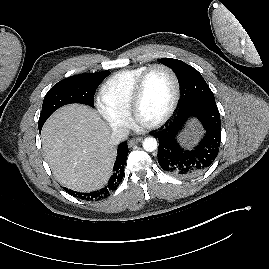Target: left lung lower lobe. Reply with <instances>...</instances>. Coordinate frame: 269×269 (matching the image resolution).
Returning a JSON list of instances; mask_svg holds the SVG:
<instances>
[{"mask_svg": "<svg viewBox=\"0 0 269 269\" xmlns=\"http://www.w3.org/2000/svg\"><path fill=\"white\" fill-rule=\"evenodd\" d=\"M196 117L206 133L192 148L178 142V134L187 119ZM159 140L158 162L161 168L179 178H194L207 170L216 159L221 140L220 113L213 101L192 102L180 108L173 122L153 134Z\"/></svg>", "mask_w": 269, "mask_h": 269, "instance_id": "0a47b994", "label": "left lung lower lobe"}]
</instances>
